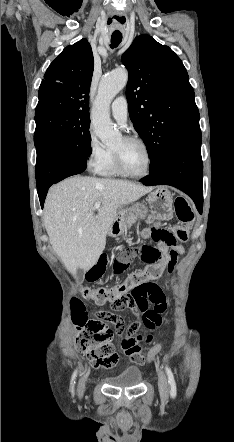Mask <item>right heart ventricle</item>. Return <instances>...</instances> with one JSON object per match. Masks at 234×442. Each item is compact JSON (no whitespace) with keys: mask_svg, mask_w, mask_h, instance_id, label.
I'll return each instance as SVG.
<instances>
[{"mask_svg":"<svg viewBox=\"0 0 234 442\" xmlns=\"http://www.w3.org/2000/svg\"><path fill=\"white\" fill-rule=\"evenodd\" d=\"M99 173L103 176H108V177L119 175L118 171L115 168L112 150H108V156Z\"/></svg>","mask_w":234,"mask_h":442,"instance_id":"1","label":"right heart ventricle"}]
</instances>
